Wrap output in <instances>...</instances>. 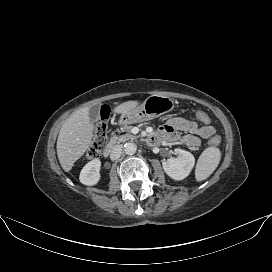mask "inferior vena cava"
I'll return each mask as SVG.
<instances>
[{
	"label": "inferior vena cava",
	"instance_id": "602c4592",
	"mask_svg": "<svg viewBox=\"0 0 272 272\" xmlns=\"http://www.w3.org/2000/svg\"><path fill=\"white\" fill-rule=\"evenodd\" d=\"M122 148L123 147L121 145L114 146L110 154V159L117 160L118 158H120L122 154Z\"/></svg>",
	"mask_w": 272,
	"mask_h": 272
}]
</instances>
